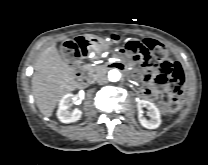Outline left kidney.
I'll list each match as a JSON object with an SVG mask.
<instances>
[{
	"instance_id": "5707ae66",
	"label": "left kidney",
	"mask_w": 208,
	"mask_h": 165,
	"mask_svg": "<svg viewBox=\"0 0 208 165\" xmlns=\"http://www.w3.org/2000/svg\"><path fill=\"white\" fill-rule=\"evenodd\" d=\"M143 108L149 110L151 117L150 120H147L143 117ZM137 109H138V119L143 127L147 129H156L160 126L161 124L160 111L154 105V103L147 100H139L137 103Z\"/></svg>"
}]
</instances>
